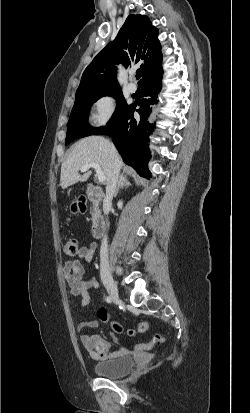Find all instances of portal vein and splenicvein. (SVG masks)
<instances>
[{
  "label": "portal vein and splenic vein",
  "instance_id": "obj_1",
  "mask_svg": "<svg viewBox=\"0 0 250 413\" xmlns=\"http://www.w3.org/2000/svg\"><path fill=\"white\" fill-rule=\"evenodd\" d=\"M89 168H94L95 169L99 182H104L105 181V179H106L105 174L102 172L101 167L97 163L85 164L84 166H82L80 168V170H81V172H85Z\"/></svg>",
  "mask_w": 250,
  "mask_h": 413
}]
</instances>
